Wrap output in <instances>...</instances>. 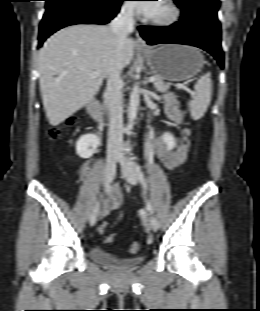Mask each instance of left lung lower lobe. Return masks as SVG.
Here are the masks:
<instances>
[{"label": "left lung lower lobe", "instance_id": "left-lung-lower-lobe-1", "mask_svg": "<svg viewBox=\"0 0 260 311\" xmlns=\"http://www.w3.org/2000/svg\"><path fill=\"white\" fill-rule=\"evenodd\" d=\"M141 36L148 44L174 43L193 45L204 49L224 67V53L221 49V28L204 17H182L169 27L140 26Z\"/></svg>", "mask_w": 260, "mask_h": 311}]
</instances>
